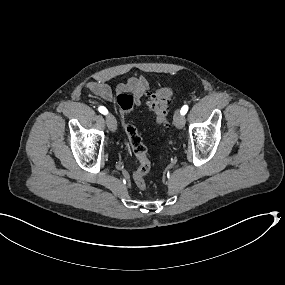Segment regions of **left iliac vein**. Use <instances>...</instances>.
I'll use <instances>...</instances> for the list:
<instances>
[{"mask_svg":"<svg viewBox=\"0 0 285 285\" xmlns=\"http://www.w3.org/2000/svg\"><path fill=\"white\" fill-rule=\"evenodd\" d=\"M173 120L175 126L179 129H182L186 122L185 117L178 110L175 111Z\"/></svg>","mask_w":285,"mask_h":285,"instance_id":"1","label":"left iliac vein"}]
</instances>
